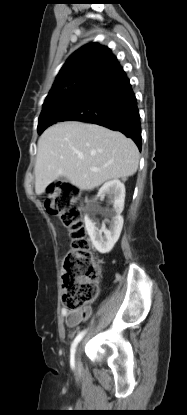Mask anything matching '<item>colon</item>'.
I'll return each mask as SVG.
<instances>
[{
    "label": "colon",
    "mask_w": 187,
    "mask_h": 415,
    "mask_svg": "<svg viewBox=\"0 0 187 415\" xmlns=\"http://www.w3.org/2000/svg\"><path fill=\"white\" fill-rule=\"evenodd\" d=\"M48 195L47 212L59 218L72 238L63 264V304L70 311L80 310L97 297L100 274V262L91 253L82 220V194L75 184L58 182L50 186Z\"/></svg>",
    "instance_id": "obj_1"
}]
</instances>
